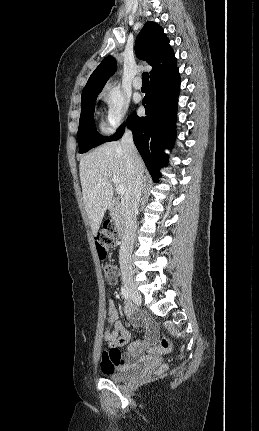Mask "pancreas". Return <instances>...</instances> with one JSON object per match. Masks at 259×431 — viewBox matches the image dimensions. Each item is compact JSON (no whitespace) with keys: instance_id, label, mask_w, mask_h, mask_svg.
<instances>
[{"instance_id":"obj_1","label":"pancreas","mask_w":259,"mask_h":431,"mask_svg":"<svg viewBox=\"0 0 259 431\" xmlns=\"http://www.w3.org/2000/svg\"><path fill=\"white\" fill-rule=\"evenodd\" d=\"M112 219L115 221L116 226L118 227L120 225V219H121V214L117 211H113L111 213Z\"/></svg>"}]
</instances>
